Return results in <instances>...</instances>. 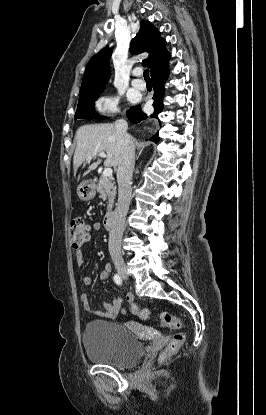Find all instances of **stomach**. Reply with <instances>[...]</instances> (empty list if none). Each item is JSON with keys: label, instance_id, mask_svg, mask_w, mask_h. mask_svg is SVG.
Listing matches in <instances>:
<instances>
[{"label": "stomach", "instance_id": "obj_1", "mask_svg": "<svg viewBox=\"0 0 266 415\" xmlns=\"http://www.w3.org/2000/svg\"><path fill=\"white\" fill-rule=\"evenodd\" d=\"M95 185L91 181H83L77 188V195L82 201H89L95 197Z\"/></svg>", "mask_w": 266, "mask_h": 415}]
</instances>
